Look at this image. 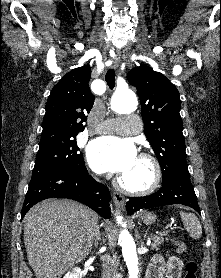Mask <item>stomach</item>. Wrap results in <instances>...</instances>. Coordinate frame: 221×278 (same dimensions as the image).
Instances as JSON below:
<instances>
[{"mask_svg": "<svg viewBox=\"0 0 221 278\" xmlns=\"http://www.w3.org/2000/svg\"><path fill=\"white\" fill-rule=\"evenodd\" d=\"M141 219L146 225H151V224L155 223L156 215L151 212H146L141 216Z\"/></svg>", "mask_w": 221, "mask_h": 278, "instance_id": "0dacf381", "label": "stomach"}]
</instances>
